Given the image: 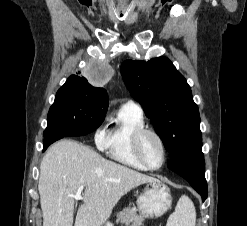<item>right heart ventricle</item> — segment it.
Listing matches in <instances>:
<instances>
[{
    "instance_id": "1",
    "label": "right heart ventricle",
    "mask_w": 247,
    "mask_h": 226,
    "mask_svg": "<svg viewBox=\"0 0 247 226\" xmlns=\"http://www.w3.org/2000/svg\"><path fill=\"white\" fill-rule=\"evenodd\" d=\"M144 127L142 111L124 105L108 129L106 153L113 160L137 170H146L135 158L132 151V136L136 130Z\"/></svg>"
}]
</instances>
